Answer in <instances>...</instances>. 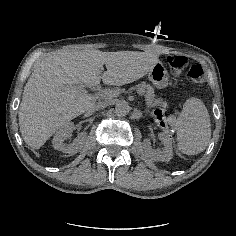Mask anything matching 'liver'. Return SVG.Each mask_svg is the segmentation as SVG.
<instances>
[{
	"mask_svg": "<svg viewBox=\"0 0 236 236\" xmlns=\"http://www.w3.org/2000/svg\"><path fill=\"white\" fill-rule=\"evenodd\" d=\"M144 57L146 52L88 48L40 57L24 86L18 112L26 145L40 149L55 132L92 109L97 97L81 90L79 84L98 85L101 79L114 86L132 83L148 72L143 67Z\"/></svg>",
	"mask_w": 236,
	"mask_h": 236,
	"instance_id": "liver-1",
	"label": "liver"
}]
</instances>
